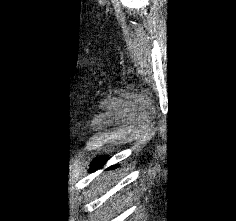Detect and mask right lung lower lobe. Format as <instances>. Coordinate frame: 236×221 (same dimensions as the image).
<instances>
[{"label":"right lung lower lobe","mask_w":236,"mask_h":221,"mask_svg":"<svg viewBox=\"0 0 236 221\" xmlns=\"http://www.w3.org/2000/svg\"><path fill=\"white\" fill-rule=\"evenodd\" d=\"M107 161V157H100L97 158L96 160H94L92 162V168L90 169V171H94L96 169H99L100 167L103 166V164ZM111 168H114V166H112Z\"/></svg>","instance_id":"obj_1"}]
</instances>
